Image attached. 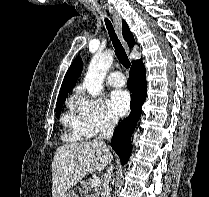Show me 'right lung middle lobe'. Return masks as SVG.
<instances>
[{"mask_svg": "<svg viewBox=\"0 0 209 197\" xmlns=\"http://www.w3.org/2000/svg\"><path fill=\"white\" fill-rule=\"evenodd\" d=\"M66 98L64 99H60L57 101V104H56V117L59 118L60 116V113H61V109L63 107V103L65 101Z\"/></svg>", "mask_w": 209, "mask_h": 197, "instance_id": "obj_1", "label": "right lung middle lobe"}]
</instances>
